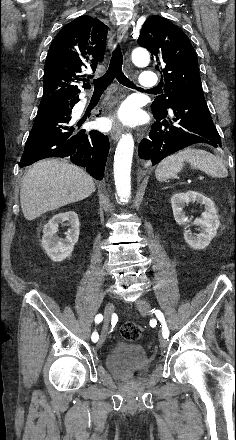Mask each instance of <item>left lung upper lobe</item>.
Returning a JSON list of instances; mask_svg holds the SVG:
<instances>
[{
	"instance_id": "left-lung-upper-lobe-1",
	"label": "left lung upper lobe",
	"mask_w": 236,
	"mask_h": 440,
	"mask_svg": "<svg viewBox=\"0 0 236 440\" xmlns=\"http://www.w3.org/2000/svg\"><path fill=\"white\" fill-rule=\"evenodd\" d=\"M150 51L161 72L163 95L151 105L153 113L167 112L182 94L203 91L195 50L186 34L169 20L153 15L148 18L137 40Z\"/></svg>"
}]
</instances>
